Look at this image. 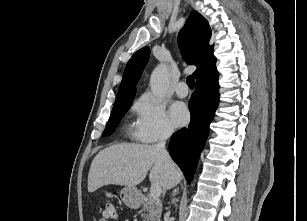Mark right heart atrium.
<instances>
[{
  "label": "right heart atrium",
  "instance_id": "d8ad5b80",
  "mask_svg": "<svg viewBox=\"0 0 307 221\" xmlns=\"http://www.w3.org/2000/svg\"><path fill=\"white\" fill-rule=\"evenodd\" d=\"M137 120L135 137L144 143H154L171 137L174 127L162 103L151 94L142 95L134 106Z\"/></svg>",
  "mask_w": 307,
  "mask_h": 221
}]
</instances>
